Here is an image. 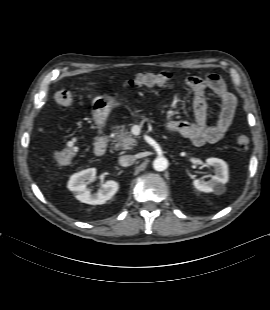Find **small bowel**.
Segmentation results:
<instances>
[{
	"mask_svg": "<svg viewBox=\"0 0 270 310\" xmlns=\"http://www.w3.org/2000/svg\"><path fill=\"white\" fill-rule=\"evenodd\" d=\"M187 87L194 97V122L171 121L166 128L189 139L195 146L216 143L228 132L235 113L236 99L227 89L224 80L217 74L205 78L190 76L186 79ZM211 90L220 102L217 121L207 124L206 90Z\"/></svg>",
	"mask_w": 270,
	"mask_h": 310,
	"instance_id": "c3829d8e",
	"label": "small bowel"
}]
</instances>
